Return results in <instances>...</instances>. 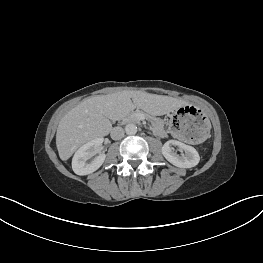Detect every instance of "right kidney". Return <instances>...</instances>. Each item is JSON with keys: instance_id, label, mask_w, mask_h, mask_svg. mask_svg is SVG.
<instances>
[{"instance_id": "obj_1", "label": "right kidney", "mask_w": 263, "mask_h": 263, "mask_svg": "<svg viewBox=\"0 0 263 263\" xmlns=\"http://www.w3.org/2000/svg\"><path fill=\"white\" fill-rule=\"evenodd\" d=\"M103 143L102 138L93 139L82 145L74 154L72 159V169L77 175H88L100 168L105 161L106 155L100 153L91 159L94 151Z\"/></svg>"}]
</instances>
